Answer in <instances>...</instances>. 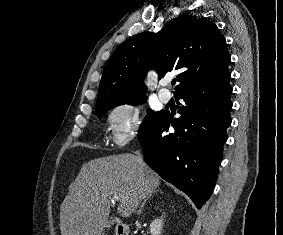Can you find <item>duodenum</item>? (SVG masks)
Returning a JSON list of instances; mask_svg holds the SVG:
<instances>
[{
  "label": "duodenum",
  "instance_id": "410a0bca",
  "mask_svg": "<svg viewBox=\"0 0 283 235\" xmlns=\"http://www.w3.org/2000/svg\"><path fill=\"white\" fill-rule=\"evenodd\" d=\"M115 235H129V228L126 224L120 223L116 225Z\"/></svg>",
  "mask_w": 283,
  "mask_h": 235
}]
</instances>
